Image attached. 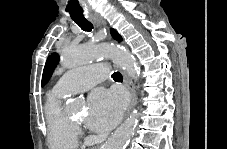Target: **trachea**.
<instances>
[{
  "label": "trachea",
  "instance_id": "obj_1",
  "mask_svg": "<svg viewBox=\"0 0 227 149\" xmlns=\"http://www.w3.org/2000/svg\"><path fill=\"white\" fill-rule=\"evenodd\" d=\"M75 23L84 31L91 32L93 29V25L88 20H74ZM112 78L114 81H122L123 77L120 72H114L112 74Z\"/></svg>",
  "mask_w": 227,
  "mask_h": 149
}]
</instances>
